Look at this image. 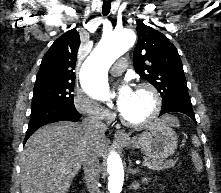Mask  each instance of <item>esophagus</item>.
<instances>
[{
    "label": "esophagus",
    "mask_w": 221,
    "mask_h": 193,
    "mask_svg": "<svg viewBox=\"0 0 221 193\" xmlns=\"http://www.w3.org/2000/svg\"><path fill=\"white\" fill-rule=\"evenodd\" d=\"M115 139L124 140L127 139V134L123 130H117L114 134Z\"/></svg>",
    "instance_id": "34e87169"
}]
</instances>
